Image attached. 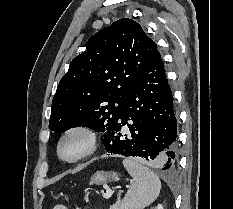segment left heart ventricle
<instances>
[{
    "instance_id": "left-heart-ventricle-1",
    "label": "left heart ventricle",
    "mask_w": 233,
    "mask_h": 209,
    "mask_svg": "<svg viewBox=\"0 0 233 209\" xmlns=\"http://www.w3.org/2000/svg\"><path fill=\"white\" fill-rule=\"evenodd\" d=\"M85 141L81 136L69 137L62 146V154L66 157H73L79 154L84 148Z\"/></svg>"
}]
</instances>
